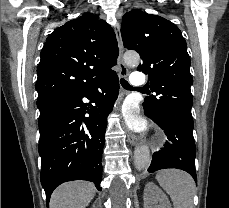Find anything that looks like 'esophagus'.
Returning <instances> with one entry per match:
<instances>
[{
	"label": "esophagus",
	"mask_w": 229,
	"mask_h": 208,
	"mask_svg": "<svg viewBox=\"0 0 229 208\" xmlns=\"http://www.w3.org/2000/svg\"><path fill=\"white\" fill-rule=\"evenodd\" d=\"M114 30H115V33H116V38H117L118 47H119V56H118V61H117L118 62V67H119V76L121 78H127L128 77V69H127V67H126V65H125V63L123 61L124 47H123V41H122V37H121L119 23L115 24ZM127 140L132 146H135L136 143H137V137L130 130H127Z\"/></svg>",
	"instance_id": "esophagus-1"
}]
</instances>
